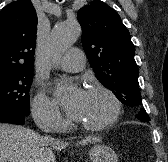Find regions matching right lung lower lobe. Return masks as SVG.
<instances>
[{"mask_svg":"<svg viewBox=\"0 0 168 162\" xmlns=\"http://www.w3.org/2000/svg\"><path fill=\"white\" fill-rule=\"evenodd\" d=\"M24 118L25 116L23 115L0 111V122L23 125Z\"/></svg>","mask_w":168,"mask_h":162,"instance_id":"right-lung-lower-lobe-1","label":"right lung lower lobe"}]
</instances>
